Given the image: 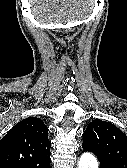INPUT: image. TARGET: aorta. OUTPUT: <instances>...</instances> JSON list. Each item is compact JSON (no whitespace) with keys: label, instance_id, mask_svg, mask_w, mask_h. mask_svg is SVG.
Returning <instances> with one entry per match:
<instances>
[{"label":"aorta","instance_id":"762f6f07","mask_svg":"<svg viewBox=\"0 0 127 168\" xmlns=\"http://www.w3.org/2000/svg\"><path fill=\"white\" fill-rule=\"evenodd\" d=\"M78 168H98V161L91 153H84L80 157Z\"/></svg>","mask_w":127,"mask_h":168}]
</instances>
